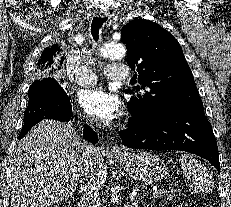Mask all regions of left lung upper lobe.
<instances>
[{"instance_id":"left-lung-upper-lobe-1","label":"left lung upper lobe","mask_w":231,"mask_h":207,"mask_svg":"<svg viewBox=\"0 0 231 207\" xmlns=\"http://www.w3.org/2000/svg\"><path fill=\"white\" fill-rule=\"evenodd\" d=\"M127 46V63L137 70L140 87L127 106L132 116L155 118L179 109L202 105L193 74L178 41L160 25L134 19L121 30Z\"/></svg>"}]
</instances>
